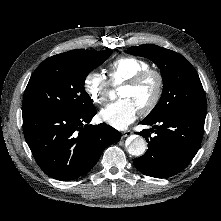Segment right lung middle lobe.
Segmentation results:
<instances>
[{"label":"right lung middle lobe","mask_w":221,"mask_h":221,"mask_svg":"<svg viewBox=\"0 0 221 221\" xmlns=\"http://www.w3.org/2000/svg\"><path fill=\"white\" fill-rule=\"evenodd\" d=\"M112 50H87L57 54L44 60L32 74L23 96L22 111L81 114L95 108L84 89L87 75L101 65Z\"/></svg>","instance_id":"obj_1"}]
</instances>
